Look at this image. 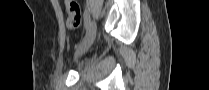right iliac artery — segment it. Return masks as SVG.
<instances>
[{
	"mask_svg": "<svg viewBox=\"0 0 209 90\" xmlns=\"http://www.w3.org/2000/svg\"><path fill=\"white\" fill-rule=\"evenodd\" d=\"M90 24V13L89 11L85 10L84 12V28L87 29Z\"/></svg>",
	"mask_w": 209,
	"mask_h": 90,
	"instance_id": "obj_1",
	"label": "right iliac artery"
}]
</instances>
